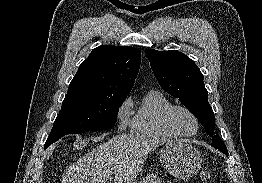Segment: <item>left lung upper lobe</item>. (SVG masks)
Listing matches in <instances>:
<instances>
[{
	"instance_id": "obj_1",
	"label": "left lung upper lobe",
	"mask_w": 262,
	"mask_h": 183,
	"mask_svg": "<svg viewBox=\"0 0 262 183\" xmlns=\"http://www.w3.org/2000/svg\"><path fill=\"white\" fill-rule=\"evenodd\" d=\"M146 54L160 86L196 116L207 134L212 136L215 148L227 151L220 136L214 134V113L208 102L203 74L195 62L177 50L148 49Z\"/></svg>"
}]
</instances>
